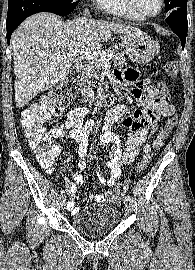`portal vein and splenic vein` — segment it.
Listing matches in <instances>:
<instances>
[{
	"label": "portal vein and splenic vein",
	"instance_id": "1",
	"mask_svg": "<svg viewBox=\"0 0 195 270\" xmlns=\"http://www.w3.org/2000/svg\"><path fill=\"white\" fill-rule=\"evenodd\" d=\"M88 60L107 62L112 58V54L105 51L85 50L80 52Z\"/></svg>",
	"mask_w": 195,
	"mask_h": 270
}]
</instances>
